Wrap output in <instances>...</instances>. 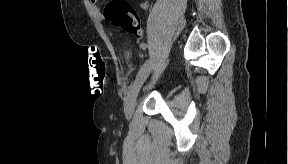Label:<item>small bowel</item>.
Here are the masks:
<instances>
[{
    "label": "small bowel",
    "instance_id": "1",
    "mask_svg": "<svg viewBox=\"0 0 288 164\" xmlns=\"http://www.w3.org/2000/svg\"><path fill=\"white\" fill-rule=\"evenodd\" d=\"M142 7H143V8H146V7H147V4H143Z\"/></svg>",
    "mask_w": 288,
    "mask_h": 164
}]
</instances>
